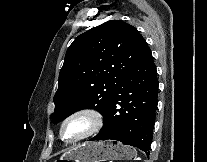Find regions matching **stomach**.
I'll return each instance as SVG.
<instances>
[{
  "mask_svg": "<svg viewBox=\"0 0 207 162\" xmlns=\"http://www.w3.org/2000/svg\"><path fill=\"white\" fill-rule=\"evenodd\" d=\"M135 156V150L129 145L113 143L109 140L99 142H85L74 147L60 160H74L75 162H104L107 160H130Z\"/></svg>",
  "mask_w": 207,
  "mask_h": 162,
  "instance_id": "stomach-1",
  "label": "stomach"
}]
</instances>
